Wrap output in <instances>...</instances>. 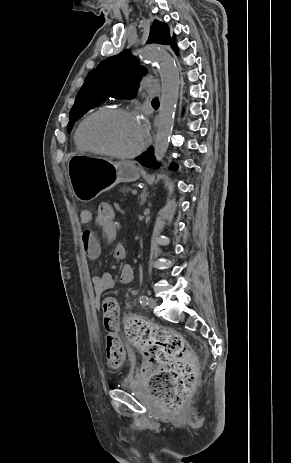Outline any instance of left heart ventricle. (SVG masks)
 Returning a JSON list of instances; mask_svg holds the SVG:
<instances>
[{
  "label": "left heart ventricle",
  "instance_id": "obj_1",
  "mask_svg": "<svg viewBox=\"0 0 291 463\" xmlns=\"http://www.w3.org/2000/svg\"><path fill=\"white\" fill-rule=\"evenodd\" d=\"M86 136L95 145L120 153L136 150L144 139L137 120L124 116L92 121Z\"/></svg>",
  "mask_w": 291,
  "mask_h": 463
}]
</instances>
